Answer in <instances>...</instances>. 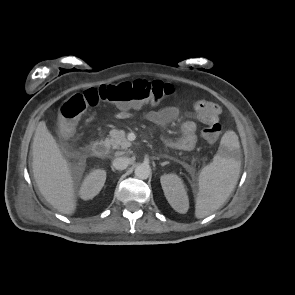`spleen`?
<instances>
[{"instance_id":"obj_1","label":"spleen","mask_w":295,"mask_h":295,"mask_svg":"<svg viewBox=\"0 0 295 295\" xmlns=\"http://www.w3.org/2000/svg\"><path fill=\"white\" fill-rule=\"evenodd\" d=\"M239 148L236 133L227 131L213 162L201 170L195 205V216L198 219L219 209L236 186L241 170Z\"/></svg>"}]
</instances>
